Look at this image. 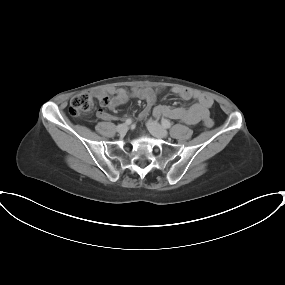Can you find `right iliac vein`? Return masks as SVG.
Returning <instances> with one entry per match:
<instances>
[{
	"label": "right iliac vein",
	"mask_w": 285,
	"mask_h": 285,
	"mask_svg": "<svg viewBox=\"0 0 285 285\" xmlns=\"http://www.w3.org/2000/svg\"><path fill=\"white\" fill-rule=\"evenodd\" d=\"M116 130L120 134H125L128 130V126L126 124H120L116 127Z\"/></svg>",
	"instance_id": "63e3f726"
}]
</instances>
